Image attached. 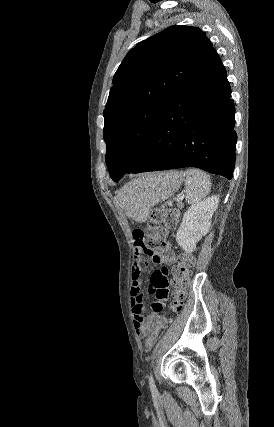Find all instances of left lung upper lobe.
I'll use <instances>...</instances> for the list:
<instances>
[{
  "label": "left lung upper lobe",
  "instance_id": "1",
  "mask_svg": "<svg viewBox=\"0 0 274 427\" xmlns=\"http://www.w3.org/2000/svg\"><path fill=\"white\" fill-rule=\"evenodd\" d=\"M212 48L199 28L174 25L127 53L103 111L111 178L124 173L142 154L165 109Z\"/></svg>",
  "mask_w": 274,
  "mask_h": 427
}]
</instances>
